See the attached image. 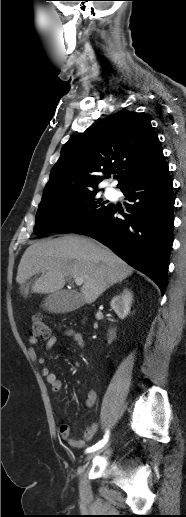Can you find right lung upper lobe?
Returning <instances> with one entry per match:
<instances>
[{"label": "right lung upper lobe", "mask_w": 186, "mask_h": 517, "mask_svg": "<svg viewBox=\"0 0 186 517\" xmlns=\"http://www.w3.org/2000/svg\"><path fill=\"white\" fill-rule=\"evenodd\" d=\"M164 164L162 147L150 120L136 112L119 111L69 139L51 170L41 202L97 190V185L115 168L119 171L118 187L122 189Z\"/></svg>", "instance_id": "obj_1"}]
</instances>
